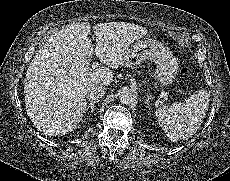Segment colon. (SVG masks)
Instances as JSON below:
<instances>
[{
    "mask_svg": "<svg viewBox=\"0 0 230 181\" xmlns=\"http://www.w3.org/2000/svg\"><path fill=\"white\" fill-rule=\"evenodd\" d=\"M190 72V68L186 64H182L180 67V73L181 75H187Z\"/></svg>",
    "mask_w": 230,
    "mask_h": 181,
    "instance_id": "1",
    "label": "colon"
}]
</instances>
